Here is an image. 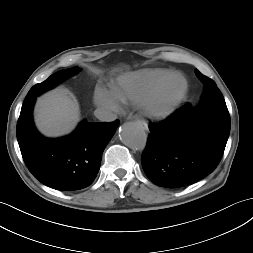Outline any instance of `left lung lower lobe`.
Instances as JSON below:
<instances>
[{
    "instance_id": "left-lung-lower-lobe-1",
    "label": "left lung lower lobe",
    "mask_w": 253,
    "mask_h": 253,
    "mask_svg": "<svg viewBox=\"0 0 253 253\" xmlns=\"http://www.w3.org/2000/svg\"><path fill=\"white\" fill-rule=\"evenodd\" d=\"M143 170L156 185L180 188L214 171L230 133L225 103L185 104L168 119L150 125Z\"/></svg>"
}]
</instances>
